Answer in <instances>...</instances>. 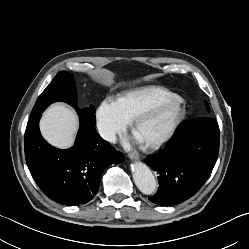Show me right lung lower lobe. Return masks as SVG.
<instances>
[{"instance_id": "right-lung-lower-lobe-1", "label": "right lung lower lobe", "mask_w": 249, "mask_h": 249, "mask_svg": "<svg viewBox=\"0 0 249 249\" xmlns=\"http://www.w3.org/2000/svg\"><path fill=\"white\" fill-rule=\"evenodd\" d=\"M41 115L31 116L25 131V157L33 179L53 201L65 205L89 202L104 169L123 162L124 155L100 137L95 125L81 119L74 146L55 148L41 136Z\"/></svg>"}]
</instances>
